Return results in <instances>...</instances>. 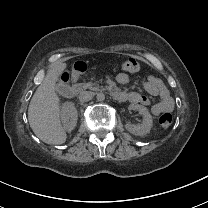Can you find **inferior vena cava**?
Here are the masks:
<instances>
[{
	"mask_svg": "<svg viewBox=\"0 0 208 208\" xmlns=\"http://www.w3.org/2000/svg\"><path fill=\"white\" fill-rule=\"evenodd\" d=\"M94 97V93L91 91H84L82 93H80L79 95V100L80 102H88L90 100H92Z\"/></svg>",
	"mask_w": 208,
	"mask_h": 208,
	"instance_id": "602c4592",
	"label": "inferior vena cava"
}]
</instances>
